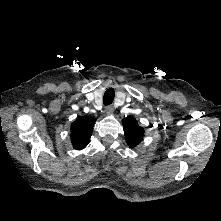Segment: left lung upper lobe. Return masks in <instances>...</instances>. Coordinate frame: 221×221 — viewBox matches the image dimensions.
Masks as SVG:
<instances>
[{
  "mask_svg": "<svg viewBox=\"0 0 221 221\" xmlns=\"http://www.w3.org/2000/svg\"><path fill=\"white\" fill-rule=\"evenodd\" d=\"M125 139L130 147L137 146L143 139L144 129L137 124L135 118L129 116L122 120Z\"/></svg>",
  "mask_w": 221,
  "mask_h": 221,
  "instance_id": "1",
  "label": "left lung upper lobe"
}]
</instances>
